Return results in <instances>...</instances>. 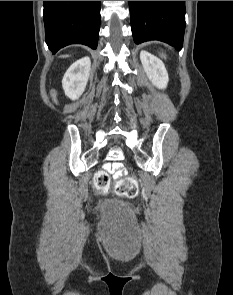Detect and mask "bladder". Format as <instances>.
I'll list each match as a JSON object with an SVG mask.
<instances>
[{"mask_svg":"<svg viewBox=\"0 0 233 295\" xmlns=\"http://www.w3.org/2000/svg\"><path fill=\"white\" fill-rule=\"evenodd\" d=\"M103 213L111 218H129V210L125 204L118 200H106L102 206Z\"/></svg>","mask_w":233,"mask_h":295,"instance_id":"bladder-1","label":"bladder"}]
</instances>
